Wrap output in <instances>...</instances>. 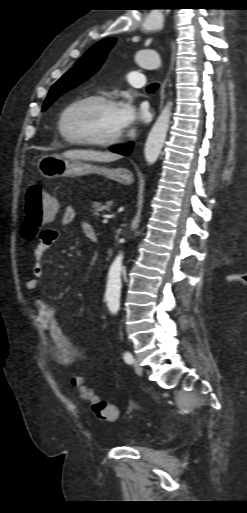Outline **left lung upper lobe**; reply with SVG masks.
Wrapping results in <instances>:
<instances>
[{
    "instance_id": "obj_1",
    "label": "left lung upper lobe",
    "mask_w": 247,
    "mask_h": 513,
    "mask_svg": "<svg viewBox=\"0 0 247 513\" xmlns=\"http://www.w3.org/2000/svg\"><path fill=\"white\" fill-rule=\"evenodd\" d=\"M115 42V38H107L93 45L75 66L51 87L42 111H45L59 96L93 75L100 68Z\"/></svg>"
}]
</instances>
